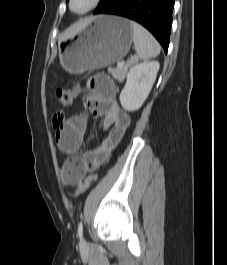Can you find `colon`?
<instances>
[{
  "label": "colon",
  "mask_w": 227,
  "mask_h": 265,
  "mask_svg": "<svg viewBox=\"0 0 227 265\" xmlns=\"http://www.w3.org/2000/svg\"><path fill=\"white\" fill-rule=\"evenodd\" d=\"M78 92L77 87H66L59 88L55 92V97L58 102H60L63 106H69L73 102L76 94ZM63 122V113H57L54 116L53 124L55 127H59ZM80 164L79 157L74 156L67 159L62 167V176L66 181L71 180V173L74 168H76ZM97 179V174H91L87 176L77 187L74 196H79L86 192L92 183Z\"/></svg>",
  "instance_id": "5ec220e1"
}]
</instances>
